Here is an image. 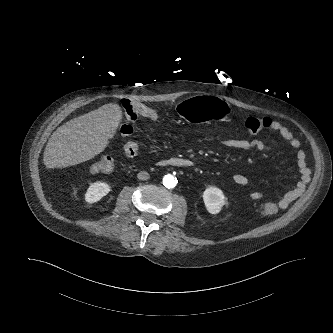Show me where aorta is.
I'll list each match as a JSON object with an SVG mask.
<instances>
[{
  "label": "aorta",
  "instance_id": "aorta-1",
  "mask_svg": "<svg viewBox=\"0 0 333 333\" xmlns=\"http://www.w3.org/2000/svg\"><path fill=\"white\" fill-rule=\"evenodd\" d=\"M163 184L167 188H174L176 186V179L172 175H166L163 178Z\"/></svg>",
  "mask_w": 333,
  "mask_h": 333
}]
</instances>
